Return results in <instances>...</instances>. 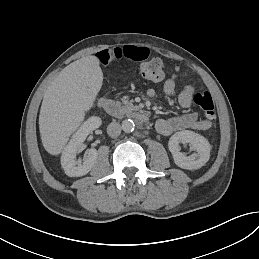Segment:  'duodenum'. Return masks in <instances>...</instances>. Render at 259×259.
<instances>
[{
    "mask_svg": "<svg viewBox=\"0 0 259 259\" xmlns=\"http://www.w3.org/2000/svg\"><path fill=\"white\" fill-rule=\"evenodd\" d=\"M99 107L107 114L115 117H122L127 114L128 116L134 118L140 123H146L149 119L148 115L144 111L131 110L126 112L124 107L120 103L109 98L101 99L99 101Z\"/></svg>",
    "mask_w": 259,
    "mask_h": 259,
    "instance_id": "1",
    "label": "duodenum"
}]
</instances>
